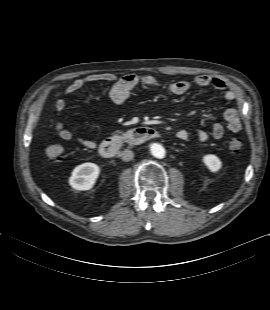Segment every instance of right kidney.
<instances>
[{
	"instance_id": "right-kidney-1",
	"label": "right kidney",
	"mask_w": 270,
	"mask_h": 310,
	"mask_svg": "<svg viewBox=\"0 0 270 310\" xmlns=\"http://www.w3.org/2000/svg\"><path fill=\"white\" fill-rule=\"evenodd\" d=\"M100 173L99 167L94 163H83L77 166L69 178V184L78 191L90 190Z\"/></svg>"
}]
</instances>
